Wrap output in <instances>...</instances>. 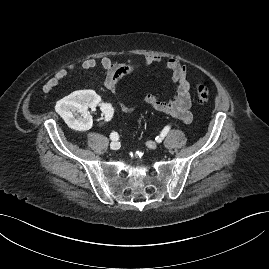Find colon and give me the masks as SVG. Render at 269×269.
<instances>
[{"label": "colon", "instance_id": "colon-1", "mask_svg": "<svg viewBox=\"0 0 269 269\" xmlns=\"http://www.w3.org/2000/svg\"><path fill=\"white\" fill-rule=\"evenodd\" d=\"M127 74H128L127 71H122L120 73V77L123 78V77L127 76ZM195 90H196L197 101L199 103H206L209 100V98H210V89L207 86H205L203 84H198L196 86Z\"/></svg>", "mask_w": 269, "mask_h": 269}]
</instances>
